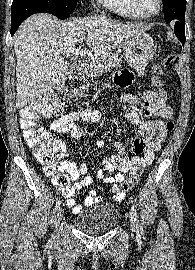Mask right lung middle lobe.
<instances>
[{
    "label": "right lung middle lobe",
    "instance_id": "1",
    "mask_svg": "<svg viewBox=\"0 0 195 270\" xmlns=\"http://www.w3.org/2000/svg\"><path fill=\"white\" fill-rule=\"evenodd\" d=\"M13 2H30L42 5L47 10V13L53 14L60 19H67L77 5V0H13Z\"/></svg>",
    "mask_w": 195,
    "mask_h": 270
}]
</instances>
